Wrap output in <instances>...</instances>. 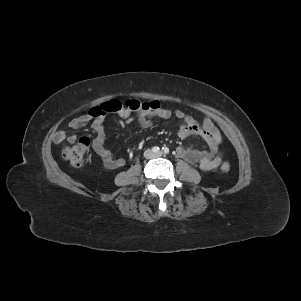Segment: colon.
<instances>
[{"mask_svg": "<svg viewBox=\"0 0 301 301\" xmlns=\"http://www.w3.org/2000/svg\"><path fill=\"white\" fill-rule=\"evenodd\" d=\"M159 105L160 104L158 102H141L138 100L123 101L114 99L103 103L99 107L92 108L89 112L93 116L97 117L108 112L119 113L125 108L135 111L139 109H156ZM89 145L90 141L87 137H80L74 141H70L63 146V157L74 165H81L88 153ZM220 169L222 172L227 173L230 171L231 166L229 163L224 162L221 164Z\"/></svg>", "mask_w": 301, "mask_h": 301, "instance_id": "1", "label": "colon"}]
</instances>
